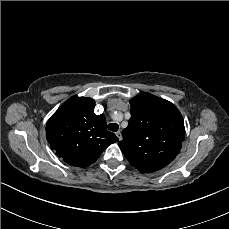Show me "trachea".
I'll use <instances>...</instances> for the list:
<instances>
[{
	"mask_svg": "<svg viewBox=\"0 0 229 229\" xmlns=\"http://www.w3.org/2000/svg\"><path fill=\"white\" fill-rule=\"evenodd\" d=\"M108 129L110 131L116 132L119 129V125L117 123H109L108 124Z\"/></svg>",
	"mask_w": 229,
	"mask_h": 229,
	"instance_id": "1",
	"label": "trachea"
}]
</instances>
